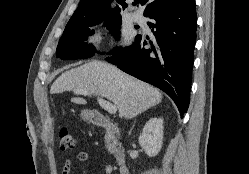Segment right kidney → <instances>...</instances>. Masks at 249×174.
I'll list each match as a JSON object with an SVG mask.
<instances>
[{
	"label": "right kidney",
	"mask_w": 249,
	"mask_h": 174,
	"mask_svg": "<svg viewBox=\"0 0 249 174\" xmlns=\"http://www.w3.org/2000/svg\"><path fill=\"white\" fill-rule=\"evenodd\" d=\"M139 144L150 157H155L163 144V119L151 118L144 126Z\"/></svg>",
	"instance_id": "obj_1"
}]
</instances>
